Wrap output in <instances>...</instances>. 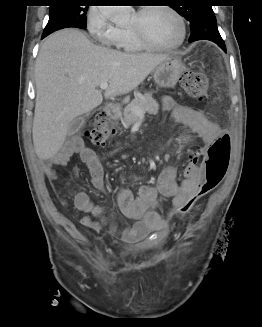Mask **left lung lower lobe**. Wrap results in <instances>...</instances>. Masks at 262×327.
Segmentation results:
<instances>
[{"label": "left lung lower lobe", "instance_id": "1", "mask_svg": "<svg viewBox=\"0 0 262 327\" xmlns=\"http://www.w3.org/2000/svg\"><path fill=\"white\" fill-rule=\"evenodd\" d=\"M202 39H206V40H210L215 42L219 47L222 48V50L224 52H226V47H225V43L217 29V22L210 27L207 28H197L193 31H191V36L189 38V42H194L197 40H202Z\"/></svg>", "mask_w": 262, "mask_h": 327}]
</instances>
